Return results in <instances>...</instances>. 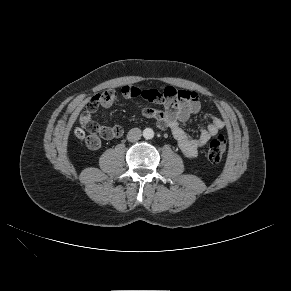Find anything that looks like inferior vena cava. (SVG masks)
<instances>
[{"instance_id": "obj_1", "label": "inferior vena cava", "mask_w": 291, "mask_h": 291, "mask_svg": "<svg viewBox=\"0 0 291 291\" xmlns=\"http://www.w3.org/2000/svg\"><path fill=\"white\" fill-rule=\"evenodd\" d=\"M141 136H142L141 130L139 128H133L129 130L127 134V139L130 142H135V141H138L141 138Z\"/></svg>"}]
</instances>
